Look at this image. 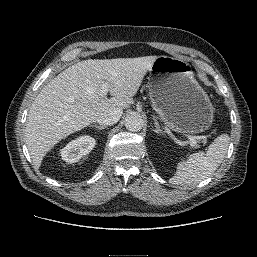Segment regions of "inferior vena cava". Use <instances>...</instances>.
<instances>
[{
  "label": "inferior vena cava",
  "instance_id": "602c4592",
  "mask_svg": "<svg viewBox=\"0 0 257 257\" xmlns=\"http://www.w3.org/2000/svg\"><path fill=\"white\" fill-rule=\"evenodd\" d=\"M122 110L120 108H109L102 111L96 117V122L100 125H113L117 123L121 117Z\"/></svg>",
  "mask_w": 257,
  "mask_h": 257
}]
</instances>
